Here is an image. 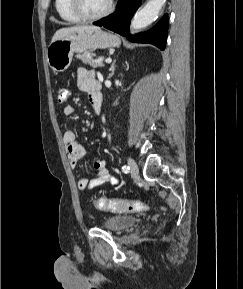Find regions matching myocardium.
I'll return each mask as SVG.
<instances>
[{
	"mask_svg": "<svg viewBox=\"0 0 243 289\" xmlns=\"http://www.w3.org/2000/svg\"><path fill=\"white\" fill-rule=\"evenodd\" d=\"M70 5L74 14L77 15L81 20L94 21L108 16L113 11L114 0H109L107 8L102 12L94 15H90L84 11L81 0H70Z\"/></svg>",
	"mask_w": 243,
	"mask_h": 289,
	"instance_id": "1",
	"label": "myocardium"
}]
</instances>
